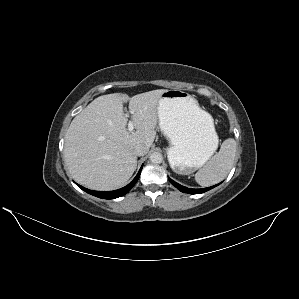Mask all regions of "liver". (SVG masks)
I'll return each instance as SVG.
<instances>
[{"label": "liver", "instance_id": "obj_1", "mask_svg": "<svg viewBox=\"0 0 299 299\" xmlns=\"http://www.w3.org/2000/svg\"><path fill=\"white\" fill-rule=\"evenodd\" d=\"M164 89L133 97L113 93L94 99L71 122L65 135L64 160L81 185L100 191L127 183L137 165L134 148L152 146L156 137L158 104ZM129 105L136 129L129 132L123 104Z\"/></svg>", "mask_w": 299, "mask_h": 299}]
</instances>
